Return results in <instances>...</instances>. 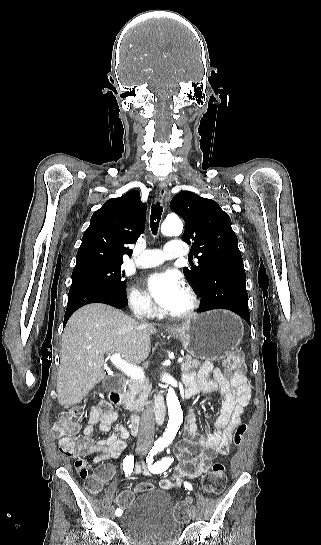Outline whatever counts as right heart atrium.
Here are the masks:
<instances>
[{"label": "right heart atrium", "instance_id": "1", "mask_svg": "<svg viewBox=\"0 0 321 545\" xmlns=\"http://www.w3.org/2000/svg\"><path fill=\"white\" fill-rule=\"evenodd\" d=\"M131 310L142 317L152 318L155 316L156 309L151 300L141 291L131 289L127 295Z\"/></svg>", "mask_w": 321, "mask_h": 545}]
</instances>
